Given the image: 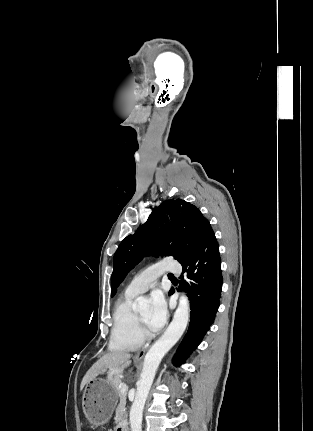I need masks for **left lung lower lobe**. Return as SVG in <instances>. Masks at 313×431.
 I'll list each match as a JSON object with an SVG mask.
<instances>
[{"label":"left lung lower lobe","instance_id":"left-lung-lower-lobe-1","mask_svg":"<svg viewBox=\"0 0 313 431\" xmlns=\"http://www.w3.org/2000/svg\"><path fill=\"white\" fill-rule=\"evenodd\" d=\"M188 281L183 286L190 300V324L183 338L173 364L179 366L200 344L203 336L210 329L220 305L222 272L218 243L209 225L194 252L181 263ZM174 289L169 291V295Z\"/></svg>","mask_w":313,"mask_h":431}]
</instances>
